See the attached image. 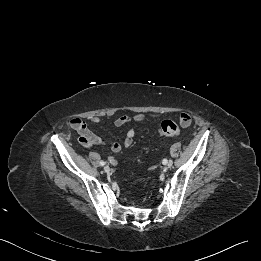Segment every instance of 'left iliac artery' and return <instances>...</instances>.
I'll use <instances>...</instances> for the list:
<instances>
[{
	"instance_id": "44dca946",
	"label": "left iliac artery",
	"mask_w": 261,
	"mask_h": 261,
	"mask_svg": "<svg viewBox=\"0 0 261 261\" xmlns=\"http://www.w3.org/2000/svg\"><path fill=\"white\" fill-rule=\"evenodd\" d=\"M169 161H171L172 163H173V161L172 160H169ZM168 161H167V159H163V164H166Z\"/></svg>"
}]
</instances>
